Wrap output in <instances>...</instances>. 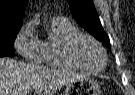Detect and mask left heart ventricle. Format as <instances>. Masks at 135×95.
<instances>
[{
	"instance_id": "obj_1",
	"label": "left heart ventricle",
	"mask_w": 135,
	"mask_h": 95,
	"mask_svg": "<svg viewBox=\"0 0 135 95\" xmlns=\"http://www.w3.org/2000/svg\"><path fill=\"white\" fill-rule=\"evenodd\" d=\"M74 54L79 62L90 68H100L104 62L101 51L87 39H81L77 42Z\"/></svg>"
}]
</instances>
